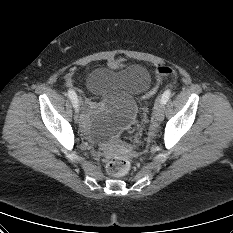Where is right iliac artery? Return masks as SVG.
I'll return each mask as SVG.
<instances>
[{"label": "right iliac artery", "mask_w": 233, "mask_h": 233, "mask_svg": "<svg viewBox=\"0 0 233 233\" xmlns=\"http://www.w3.org/2000/svg\"><path fill=\"white\" fill-rule=\"evenodd\" d=\"M68 97L70 98V100L72 101V104L74 107H77V95L73 90H68Z\"/></svg>", "instance_id": "82829eb1"}]
</instances>
